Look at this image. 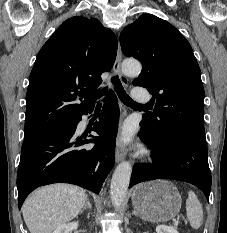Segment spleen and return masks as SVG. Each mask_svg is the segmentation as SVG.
Instances as JSON below:
<instances>
[{"mask_svg":"<svg viewBox=\"0 0 227 233\" xmlns=\"http://www.w3.org/2000/svg\"><path fill=\"white\" fill-rule=\"evenodd\" d=\"M187 218L193 229H199L203 222V210L202 206L193 191L188 192V198L186 200Z\"/></svg>","mask_w":227,"mask_h":233,"instance_id":"3e777b00","label":"spleen"}]
</instances>
